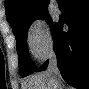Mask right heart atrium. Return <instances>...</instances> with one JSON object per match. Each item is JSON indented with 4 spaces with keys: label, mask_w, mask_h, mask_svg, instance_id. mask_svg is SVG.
<instances>
[{
    "label": "right heart atrium",
    "mask_w": 89,
    "mask_h": 89,
    "mask_svg": "<svg viewBox=\"0 0 89 89\" xmlns=\"http://www.w3.org/2000/svg\"><path fill=\"white\" fill-rule=\"evenodd\" d=\"M27 43L31 54L39 61L45 60L53 51V37L47 22L33 21L28 29Z\"/></svg>",
    "instance_id": "obj_1"
}]
</instances>
